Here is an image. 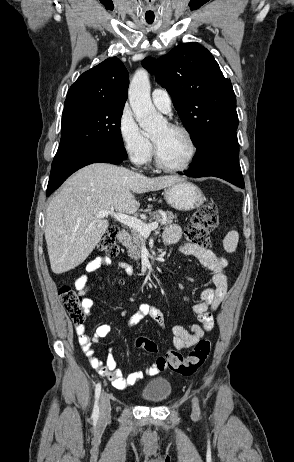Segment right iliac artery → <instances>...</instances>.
<instances>
[{"label":"right iliac artery","mask_w":294,"mask_h":462,"mask_svg":"<svg viewBox=\"0 0 294 462\" xmlns=\"http://www.w3.org/2000/svg\"><path fill=\"white\" fill-rule=\"evenodd\" d=\"M100 393H101V384L98 383L95 388V403H94L93 414H92L93 418L95 419L99 417L98 401H99Z\"/></svg>","instance_id":"right-iliac-artery-1"}]
</instances>
